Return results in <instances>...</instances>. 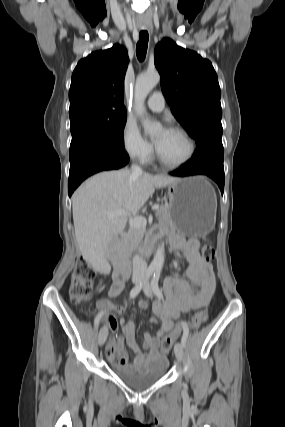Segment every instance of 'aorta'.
Returning a JSON list of instances; mask_svg holds the SVG:
<instances>
[{
	"instance_id": "762f6f07",
	"label": "aorta",
	"mask_w": 285,
	"mask_h": 427,
	"mask_svg": "<svg viewBox=\"0 0 285 427\" xmlns=\"http://www.w3.org/2000/svg\"><path fill=\"white\" fill-rule=\"evenodd\" d=\"M160 82V75L158 72L146 73L140 75L136 79L135 84V110L139 117L144 118L146 115V109L144 102L150 91ZM143 127L145 132L154 136L161 131L159 124L151 123L148 120H144ZM165 250L164 245L160 244L156 250L154 258L151 262V267L157 270H161L164 264Z\"/></svg>"
}]
</instances>
